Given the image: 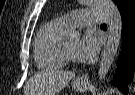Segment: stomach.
<instances>
[{
	"mask_svg": "<svg viewBox=\"0 0 135 95\" xmlns=\"http://www.w3.org/2000/svg\"><path fill=\"white\" fill-rule=\"evenodd\" d=\"M73 88H74L76 91L82 92V91L86 90L87 84H86V83H80V82H78V81L76 80V81L73 82Z\"/></svg>",
	"mask_w": 135,
	"mask_h": 95,
	"instance_id": "obj_1",
	"label": "stomach"
}]
</instances>
